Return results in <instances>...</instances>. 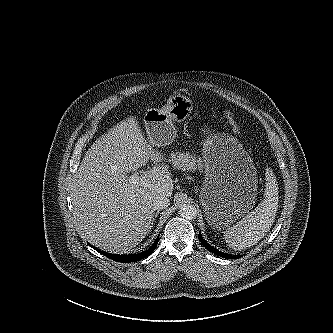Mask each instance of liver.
<instances>
[{"label":"liver","instance_id":"obj_1","mask_svg":"<svg viewBox=\"0 0 333 333\" xmlns=\"http://www.w3.org/2000/svg\"><path fill=\"white\" fill-rule=\"evenodd\" d=\"M147 142L134 117L121 121L86 152L74 175L72 205L77 230L94 246L127 253L150 231L153 198L173 191L165 166H154L131 183L127 173L163 157Z\"/></svg>","mask_w":333,"mask_h":333}]
</instances>
